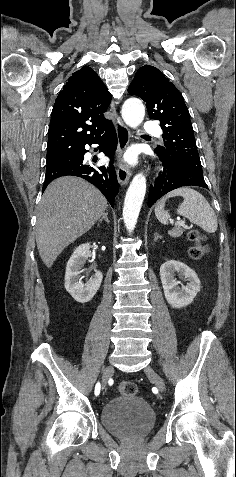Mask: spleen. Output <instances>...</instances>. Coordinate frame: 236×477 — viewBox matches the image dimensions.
I'll list each match as a JSON object with an SVG mask.
<instances>
[{
	"label": "spleen",
	"mask_w": 236,
	"mask_h": 477,
	"mask_svg": "<svg viewBox=\"0 0 236 477\" xmlns=\"http://www.w3.org/2000/svg\"><path fill=\"white\" fill-rule=\"evenodd\" d=\"M175 196H182L184 199L177 209V214L187 217L207 233L216 232L218 223L214 210L202 194L189 187L175 189L158 202L155 215L162 224H168L170 218L169 213L164 210L165 202Z\"/></svg>",
	"instance_id": "obj_1"
}]
</instances>
